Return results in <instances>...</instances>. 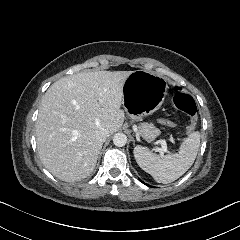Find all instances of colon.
<instances>
[{
  "mask_svg": "<svg viewBox=\"0 0 240 240\" xmlns=\"http://www.w3.org/2000/svg\"><path fill=\"white\" fill-rule=\"evenodd\" d=\"M174 107L190 117V124L186 127V135H191V128L197 125L198 107L195 101L188 95H177L173 99ZM173 128V119H162V127Z\"/></svg>",
  "mask_w": 240,
  "mask_h": 240,
  "instance_id": "colon-1",
  "label": "colon"
}]
</instances>
